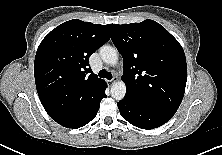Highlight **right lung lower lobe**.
Returning a JSON list of instances; mask_svg holds the SVG:
<instances>
[{
    "instance_id": "98d812e1",
    "label": "right lung lower lobe",
    "mask_w": 222,
    "mask_h": 155,
    "mask_svg": "<svg viewBox=\"0 0 222 155\" xmlns=\"http://www.w3.org/2000/svg\"><path fill=\"white\" fill-rule=\"evenodd\" d=\"M106 87L107 84L103 87L99 94L93 98L92 101L85 105L79 106L69 115L55 118V121L64 127L73 129H77L86 125L95 118L99 110L100 101L106 97Z\"/></svg>"
}]
</instances>
